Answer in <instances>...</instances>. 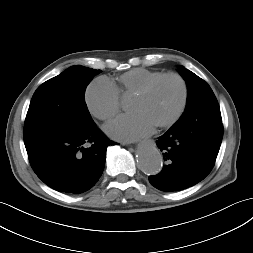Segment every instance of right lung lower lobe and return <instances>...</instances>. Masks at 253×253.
<instances>
[{
	"mask_svg": "<svg viewBox=\"0 0 253 253\" xmlns=\"http://www.w3.org/2000/svg\"><path fill=\"white\" fill-rule=\"evenodd\" d=\"M114 144L93 123L50 134L26 150L34 172L45 184L78 194L98 181L106 149Z\"/></svg>",
	"mask_w": 253,
	"mask_h": 253,
	"instance_id": "obj_1",
	"label": "right lung lower lobe"
}]
</instances>
